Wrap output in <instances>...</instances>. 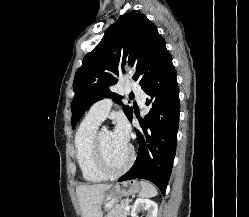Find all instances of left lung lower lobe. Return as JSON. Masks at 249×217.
I'll return each instance as SVG.
<instances>
[{"label":"left lung lower lobe","instance_id":"1","mask_svg":"<svg viewBox=\"0 0 249 217\" xmlns=\"http://www.w3.org/2000/svg\"><path fill=\"white\" fill-rule=\"evenodd\" d=\"M176 70L169 55L144 89L149 113L140 121L144 135L135 129L139 150L135 164L118 181L146 179L165 194L177 146L179 90Z\"/></svg>","mask_w":249,"mask_h":217}]
</instances>
